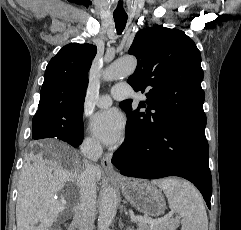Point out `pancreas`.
I'll use <instances>...</instances> for the list:
<instances>
[{
    "mask_svg": "<svg viewBox=\"0 0 241 230\" xmlns=\"http://www.w3.org/2000/svg\"><path fill=\"white\" fill-rule=\"evenodd\" d=\"M179 225L178 220L169 219L159 225H149L146 223H139L138 230H176Z\"/></svg>",
    "mask_w": 241,
    "mask_h": 230,
    "instance_id": "obj_1",
    "label": "pancreas"
}]
</instances>
